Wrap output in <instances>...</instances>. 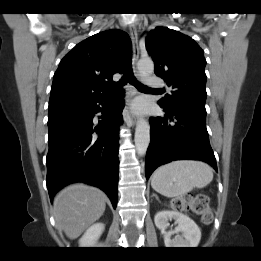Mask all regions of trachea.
Instances as JSON below:
<instances>
[{
	"label": "trachea",
	"mask_w": 261,
	"mask_h": 261,
	"mask_svg": "<svg viewBox=\"0 0 261 261\" xmlns=\"http://www.w3.org/2000/svg\"><path fill=\"white\" fill-rule=\"evenodd\" d=\"M129 81L132 85H134L139 90H152V88H149L143 84H141L133 75L131 64L129 63L127 65V74L123 76V78L119 81V85H124Z\"/></svg>",
	"instance_id": "1"
}]
</instances>
